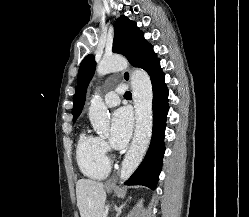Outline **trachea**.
<instances>
[{"instance_id":"3493384b","label":"trachea","mask_w":249,"mask_h":217,"mask_svg":"<svg viewBox=\"0 0 249 217\" xmlns=\"http://www.w3.org/2000/svg\"><path fill=\"white\" fill-rule=\"evenodd\" d=\"M125 97H132V94L130 91H127L125 94H124Z\"/></svg>"}]
</instances>
